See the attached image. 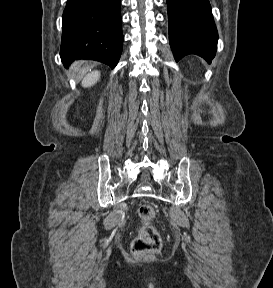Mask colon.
Listing matches in <instances>:
<instances>
[{
	"label": "colon",
	"instance_id": "obj_1",
	"mask_svg": "<svg viewBox=\"0 0 273 288\" xmlns=\"http://www.w3.org/2000/svg\"><path fill=\"white\" fill-rule=\"evenodd\" d=\"M140 219V229L138 236L133 240L131 251L134 257H139L146 253L160 251L162 240L156 230V212L151 205L142 204L138 208Z\"/></svg>",
	"mask_w": 273,
	"mask_h": 288
}]
</instances>
